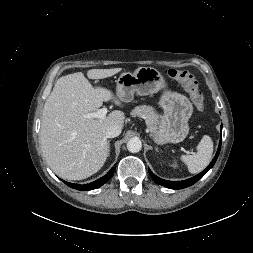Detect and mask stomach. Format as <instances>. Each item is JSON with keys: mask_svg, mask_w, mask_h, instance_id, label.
Segmentation results:
<instances>
[{"mask_svg": "<svg viewBox=\"0 0 253 253\" xmlns=\"http://www.w3.org/2000/svg\"><path fill=\"white\" fill-rule=\"evenodd\" d=\"M163 90L159 106L164 114L153 137L156 143H179L189 132L188 121L193 113V105L183 94L167 89L161 72L153 67H139L133 73H122L116 86L117 96L123 102H131L134 94L153 95Z\"/></svg>", "mask_w": 253, "mask_h": 253, "instance_id": "obj_1", "label": "stomach"}]
</instances>
